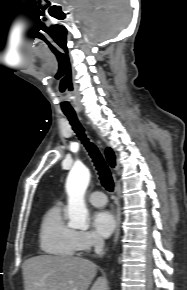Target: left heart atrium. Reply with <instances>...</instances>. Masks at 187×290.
I'll use <instances>...</instances> for the list:
<instances>
[{
    "label": "left heart atrium",
    "instance_id": "obj_1",
    "mask_svg": "<svg viewBox=\"0 0 187 290\" xmlns=\"http://www.w3.org/2000/svg\"><path fill=\"white\" fill-rule=\"evenodd\" d=\"M92 225L98 235L108 237L116 227V220L111 212L100 210L94 213Z\"/></svg>",
    "mask_w": 187,
    "mask_h": 290
}]
</instances>
